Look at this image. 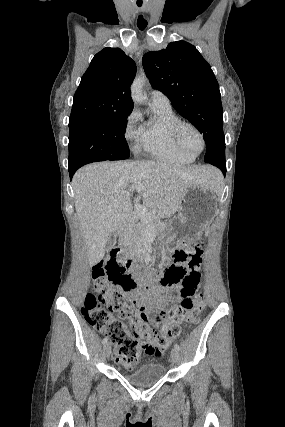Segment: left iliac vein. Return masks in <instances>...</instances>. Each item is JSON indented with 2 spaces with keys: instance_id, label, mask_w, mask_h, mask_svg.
<instances>
[{
  "instance_id": "obj_1",
  "label": "left iliac vein",
  "mask_w": 285,
  "mask_h": 427,
  "mask_svg": "<svg viewBox=\"0 0 285 427\" xmlns=\"http://www.w3.org/2000/svg\"><path fill=\"white\" fill-rule=\"evenodd\" d=\"M171 361L173 363H177L179 361V351H177L175 348L171 351Z\"/></svg>"
}]
</instances>
